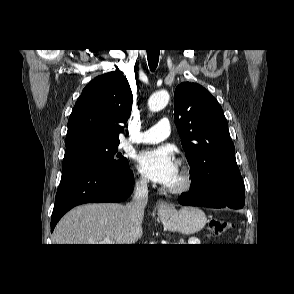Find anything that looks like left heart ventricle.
Returning <instances> with one entry per match:
<instances>
[{"mask_svg":"<svg viewBox=\"0 0 294 294\" xmlns=\"http://www.w3.org/2000/svg\"><path fill=\"white\" fill-rule=\"evenodd\" d=\"M179 182H180V173L178 171L168 186H175V185L179 184Z\"/></svg>","mask_w":294,"mask_h":294,"instance_id":"left-heart-ventricle-1","label":"left heart ventricle"}]
</instances>
